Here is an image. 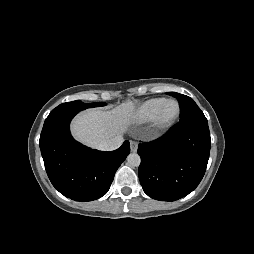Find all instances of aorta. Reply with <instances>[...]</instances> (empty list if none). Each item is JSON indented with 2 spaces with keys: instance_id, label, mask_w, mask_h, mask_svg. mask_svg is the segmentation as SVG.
Returning <instances> with one entry per match:
<instances>
[{
  "instance_id": "1",
  "label": "aorta",
  "mask_w": 254,
  "mask_h": 254,
  "mask_svg": "<svg viewBox=\"0 0 254 254\" xmlns=\"http://www.w3.org/2000/svg\"><path fill=\"white\" fill-rule=\"evenodd\" d=\"M127 162L130 166L137 167L141 163V158L137 153H130L127 156Z\"/></svg>"
}]
</instances>
